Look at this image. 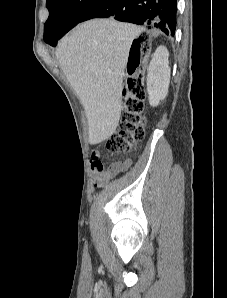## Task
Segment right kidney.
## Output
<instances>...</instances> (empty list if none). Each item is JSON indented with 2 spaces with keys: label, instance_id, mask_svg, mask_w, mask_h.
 Segmentation results:
<instances>
[{
  "label": "right kidney",
  "instance_id": "right-kidney-1",
  "mask_svg": "<svg viewBox=\"0 0 227 298\" xmlns=\"http://www.w3.org/2000/svg\"><path fill=\"white\" fill-rule=\"evenodd\" d=\"M169 52L166 47L159 46L153 54L147 74V91L151 106H157L168 94L171 70Z\"/></svg>",
  "mask_w": 227,
  "mask_h": 298
}]
</instances>
